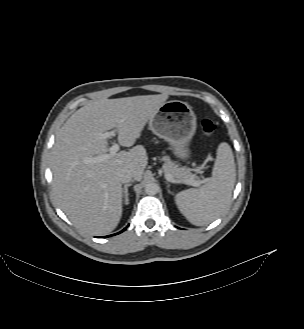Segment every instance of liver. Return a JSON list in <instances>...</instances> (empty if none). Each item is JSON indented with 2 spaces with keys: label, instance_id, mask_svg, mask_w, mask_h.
I'll list each match as a JSON object with an SVG mask.
<instances>
[{
  "label": "liver",
  "instance_id": "1",
  "mask_svg": "<svg viewBox=\"0 0 304 329\" xmlns=\"http://www.w3.org/2000/svg\"><path fill=\"white\" fill-rule=\"evenodd\" d=\"M167 99V94H158L92 101L73 113L58 131L51 156L53 192L77 228L91 235L113 231L122 216L124 191L119 172L129 170L140 181L148 163L142 145L102 162H86L107 154L104 133L116 129L119 144L133 146Z\"/></svg>",
  "mask_w": 304,
  "mask_h": 329
}]
</instances>
